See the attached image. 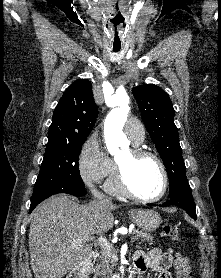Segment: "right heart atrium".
I'll use <instances>...</instances> for the list:
<instances>
[{
	"label": "right heart atrium",
	"mask_w": 221,
	"mask_h": 278,
	"mask_svg": "<svg viewBox=\"0 0 221 278\" xmlns=\"http://www.w3.org/2000/svg\"><path fill=\"white\" fill-rule=\"evenodd\" d=\"M78 172L88 185L100 183L114 173L113 162L103 152L94 135H90L81 147Z\"/></svg>",
	"instance_id": "obj_1"
}]
</instances>
